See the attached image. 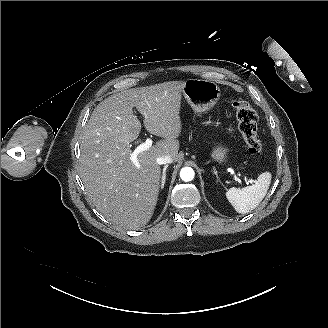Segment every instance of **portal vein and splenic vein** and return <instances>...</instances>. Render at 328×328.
I'll list each match as a JSON object with an SVG mask.
<instances>
[{
	"label": "portal vein and splenic vein",
	"instance_id": "18ae733b",
	"mask_svg": "<svg viewBox=\"0 0 328 328\" xmlns=\"http://www.w3.org/2000/svg\"><path fill=\"white\" fill-rule=\"evenodd\" d=\"M152 143H153V140L151 138H147L146 141H145V143H142V144L136 146L133 149L132 153L130 154V159H131V161L133 162L135 168L138 171H140V169H141V165H140V163L138 161V155L140 153H142L143 151H145L146 149H148L149 146L152 145ZM236 181H238V183L240 185H242V181L240 179H237ZM249 182L256 183V180H254V179H247V184H249Z\"/></svg>",
	"mask_w": 328,
	"mask_h": 328
}]
</instances>
